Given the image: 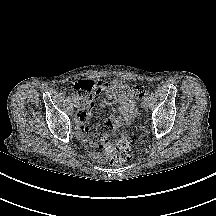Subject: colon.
Returning <instances> with one entry per match:
<instances>
[{
	"label": "colon",
	"mask_w": 216,
	"mask_h": 216,
	"mask_svg": "<svg viewBox=\"0 0 216 216\" xmlns=\"http://www.w3.org/2000/svg\"><path fill=\"white\" fill-rule=\"evenodd\" d=\"M72 90L82 100L93 101L101 93L102 89L99 83L91 80H81L72 86ZM130 93L135 99L141 100L146 94V90L142 86L135 85L130 87ZM112 129V125L105 122L102 125L99 134L108 137L111 135ZM135 146L136 137L122 132L112 134L110 138L105 139L102 143V149L110 156V163L114 166H120L130 161Z\"/></svg>",
	"instance_id": "5ec220e1"
}]
</instances>
